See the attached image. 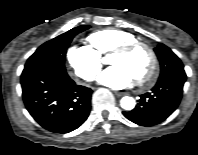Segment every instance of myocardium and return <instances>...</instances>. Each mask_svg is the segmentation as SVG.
<instances>
[{
    "label": "myocardium",
    "mask_w": 198,
    "mask_h": 155,
    "mask_svg": "<svg viewBox=\"0 0 198 155\" xmlns=\"http://www.w3.org/2000/svg\"><path fill=\"white\" fill-rule=\"evenodd\" d=\"M139 47H143L147 50L150 56V67L149 70L141 77L136 79V83L139 86H150L158 72V57L153 47L147 42L141 40H134L131 42L124 43L112 51L113 54H127Z\"/></svg>",
    "instance_id": "obj_1"
}]
</instances>
